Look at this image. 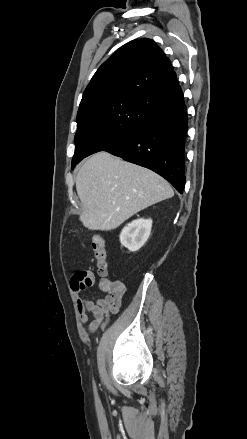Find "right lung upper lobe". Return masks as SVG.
Wrapping results in <instances>:
<instances>
[{
	"label": "right lung upper lobe",
	"instance_id": "right-lung-upper-lobe-1",
	"mask_svg": "<svg viewBox=\"0 0 247 439\" xmlns=\"http://www.w3.org/2000/svg\"><path fill=\"white\" fill-rule=\"evenodd\" d=\"M170 60L147 38L120 47L96 71L78 113L113 100H128L149 110L182 95Z\"/></svg>",
	"mask_w": 247,
	"mask_h": 439
}]
</instances>
